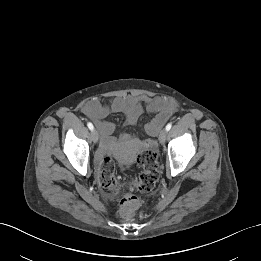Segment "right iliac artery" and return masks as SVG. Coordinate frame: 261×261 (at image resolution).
<instances>
[{
    "instance_id": "obj_1",
    "label": "right iliac artery",
    "mask_w": 261,
    "mask_h": 261,
    "mask_svg": "<svg viewBox=\"0 0 261 261\" xmlns=\"http://www.w3.org/2000/svg\"><path fill=\"white\" fill-rule=\"evenodd\" d=\"M87 126H88V128H89L90 130H93V129H94V126H93V124H92L91 122H88V123H87Z\"/></svg>"
}]
</instances>
